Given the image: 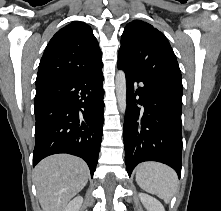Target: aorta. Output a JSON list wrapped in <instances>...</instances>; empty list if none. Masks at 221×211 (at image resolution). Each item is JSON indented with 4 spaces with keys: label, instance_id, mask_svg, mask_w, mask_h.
<instances>
[{
    "label": "aorta",
    "instance_id": "1",
    "mask_svg": "<svg viewBox=\"0 0 221 211\" xmlns=\"http://www.w3.org/2000/svg\"><path fill=\"white\" fill-rule=\"evenodd\" d=\"M115 85H116V95H117L119 110L121 113L124 114L127 108V102H126L127 87H126V77L124 71L119 70L117 72Z\"/></svg>",
    "mask_w": 221,
    "mask_h": 211
}]
</instances>
